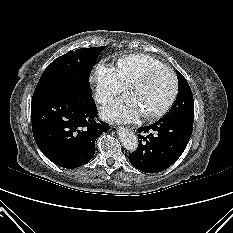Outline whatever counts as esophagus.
<instances>
[{
  "mask_svg": "<svg viewBox=\"0 0 233 233\" xmlns=\"http://www.w3.org/2000/svg\"><path fill=\"white\" fill-rule=\"evenodd\" d=\"M129 129L133 131V130H134V127H129Z\"/></svg>",
  "mask_w": 233,
  "mask_h": 233,
  "instance_id": "esophagus-1",
  "label": "esophagus"
}]
</instances>
